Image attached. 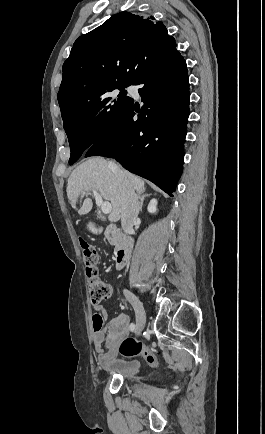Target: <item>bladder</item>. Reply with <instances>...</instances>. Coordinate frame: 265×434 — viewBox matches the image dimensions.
I'll use <instances>...</instances> for the list:
<instances>
[{
  "label": "bladder",
  "instance_id": "bladder-1",
  "mask_svg": "<svg viewBox=\"0 0 265 434\" xmlns=\"http://www.w3.org/2000/svg\"><path fill=\"white\" fill-rule=\"evenodd\" d=\"M112 370L124 378H134L142 370V364L135 360L118 362L113 365Z\"/></svg>",
  "mask_w": 265,
  "mask_h": 434
}]
</instances>
